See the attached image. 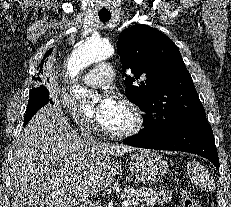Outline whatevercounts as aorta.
<instances>
[{"mask_svg":"<svg viewBox=\"0 0 231 207\" xmlns=\"http://www.w3.org/2000/svg\"><path fill=\"white\" fill-rule=\"evenodd\" d=\"M114 54V48L104 39L90 38L78 45L72 52L68 63L67 72L71 78L76 77L80 71L93 63L106 60ZM72 93L76 98L82 101V108L85 111L92 109V106L87 102V99L96 100L94 94L80 88L78 85L72 87Z\"/></svg>","mask_w":231,"mask_h":207,"instance_id":"1","label":"aorta"}]
</instances>
